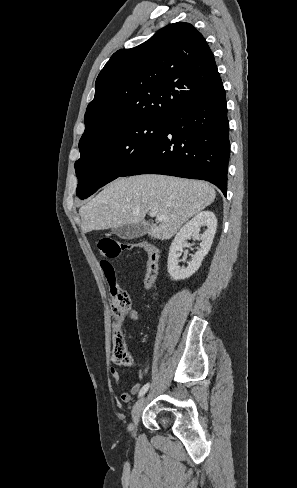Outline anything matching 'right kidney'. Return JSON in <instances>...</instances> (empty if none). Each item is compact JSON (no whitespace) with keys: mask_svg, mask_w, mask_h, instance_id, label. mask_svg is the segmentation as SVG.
Segmentation results:
<instances>
[{"mask_svg":"<svg viewBox=\"0 0 297 488\" xmlns=\"http://www.w3.org/2000/svg\"><path fill=\"white\" fill-rule=\"evenodd\" d=\"M201 226L207 229L200 234ZM217 229V218L211 211H202L188 221L176 234L169 250L168 272L173 280H182L192 276L201 266L204 257L211 249ZM201 240L200 249L192 256L187 267H180V252L189 247L188 239Z\"/></svg>","mask_w":297,"mask_h":488,"instance_id":"obj_1","label":"right kidney"}]
</instances>
